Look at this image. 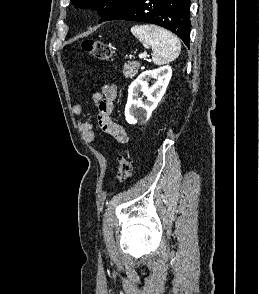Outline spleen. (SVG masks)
<instances>
[{
    "mask_svg": "<svg viewBox=\"0 0 259 294\" xmlns=\"http://www.w3.org/2000/svg\"><path fill=\"white\" fill-rule=\"evenodd\" d=\"M131 33L146 49L152 48V60L156 65L174 61L180 54V41L166 29L155 25H135Z\"/></svg>",
    "mask_w": 259,
    "mask_h": 294,
    "instance_id": "obj_1",
    "label": "spleen"
}]
</instances>
